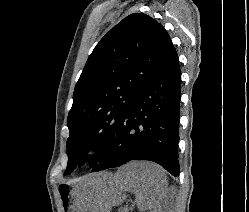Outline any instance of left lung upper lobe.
Here are the masks:
<instances>
[{"label":"left lung upper lobe","instance_id":"5c2ea615","mask_svg":"<svg viewBox=\"0 0 249 212\" xmlns=\"http://www.w3.org/2000/svg\"><path fill=\"white\" fill-rule=\"evenodd\" d=\"M172 46L163 26L146 14H131L97 44L75 86L67 125L68 164L99 149L92 168L112 146L118 123L131 100Z\"/></svg>","mask_w":249,"mask_h":212}]
</instances>
